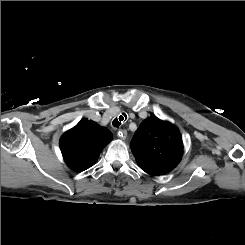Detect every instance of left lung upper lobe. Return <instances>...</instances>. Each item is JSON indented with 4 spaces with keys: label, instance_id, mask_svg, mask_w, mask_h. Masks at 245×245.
I'll return each mask as SVG.
<instances>
[{
    "label": "left lung upper lobe",
    "instance_id": "left-lung-upper-lobe-1",
    "mask_svg": "<svg viewBox=\"0 0 245 245\" xmlns=\"http://www.w3.org/2000/svg\"><path fill=\"white\" fill-rule=\"evenodd\" d=\"M130 147L139 167L155 176L172 171L183 154V141L178 128L155 116L140 124Z\"/></svg>",
    "mask_w": 245,
    "mask_h": 245
}]
</instances>
